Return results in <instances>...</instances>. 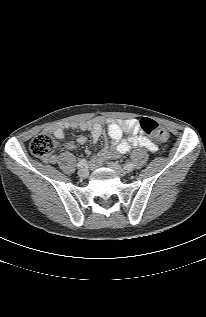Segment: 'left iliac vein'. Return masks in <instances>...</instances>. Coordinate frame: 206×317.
<instances>
[{"mask_svg": "<svg viewBox=\"0 0 206 317\" xmlns=\"http://www.w3.org/2000/svg\"><path fill=\"white\" fill-rule=\"evenodd\" d=\"M108 166L120 176H125L128 173V171L122 168L118 163L108 162Z\"/></svg>", "mask_w": 206, "mask_h": 317, "instance_id": "left-iliac-vein-1", "label": "left iliac vein"}]
</instances>
